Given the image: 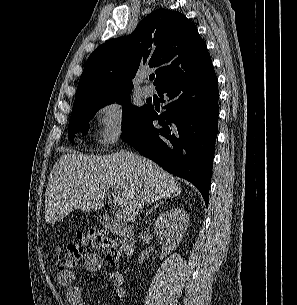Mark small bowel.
I'll return each mask as SVG.
<instances>
[{
  "label": "small bowel",
  "mask_w": 297,
  "mask_h": 305,
  "mask_svg": "<svg viewBox=\"0 0 297 305\" xmlns=\"http://www.w3.org/2000/svg\"><path fill=\"white\" fill-rule=\"evenodd\" d=\"M103 260L97 254H90L85 258L84 267L88 272L94 273L103 267ZM58 284L66 289V298L71 305H87L80 287L75 284V274L72 271H59L56 274ZM109 278L114 285L113 296L118 300L126 298V290L123 287L124 276L118 271L109 273Z\"/></svg>",
  "instance_id": "obj_1"
}]
</instances>
